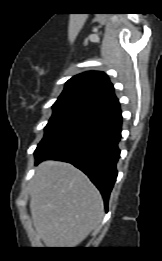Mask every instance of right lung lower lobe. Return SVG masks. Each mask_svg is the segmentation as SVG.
I'll list each match as a JSON object with an SVG mask.
<instances>
[{
	"label": "right lung lower lobe",
	"instance_id": "obj_1",
	"mask_svg": "<svg viewBox=\"0 0 162 261\" xmlns=\"http://www.w3.org/2000/svg\"><path fill=\"white\" fill-rule=\"evenodd\" d=\"M122 115L118 101L64 126L35 151L36 163L65 161L82 170L100 190L105 206L116 181Z\"/></svg>",
	"mask_w": 162,
	"mask_h": 261
}]
</instances>
